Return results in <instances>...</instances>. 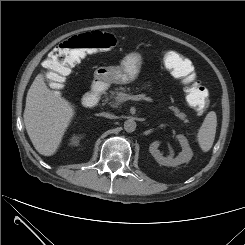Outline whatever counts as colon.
<instances>
[{"label":"colon","instance_id":"5ec220e1","mask_svg":"<svg viewBox=\"0 0 245 245\" xmlns=\"http://www.w3.org/2000/svg\"><path fill=\"white\" fill-rule=\"evenodd\" d=\"M117 43L118 39L114 34L104 31H93L69 38L55 47L45 60L44 75L54 89H59L71 68L86 55L110 50ZM184 59L180 54L171 52L165 57V64L177 79L187 84L186 99L189 105L199 115H204L210 104L208 90L188 74Z\"/></svg>","mask_w":245,"mask_h":245}]
</instances>
